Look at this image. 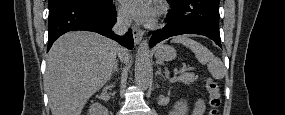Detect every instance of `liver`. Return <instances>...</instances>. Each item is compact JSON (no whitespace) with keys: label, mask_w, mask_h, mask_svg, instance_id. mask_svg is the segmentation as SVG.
Segmentation results:
<instances>
[{"label":"liver","mask_w":285,"mask_h":115,"mask_svg":"<svg viewBox=\"0 0 285 115\" xmlns=\"http://www.w3.org/2000/svg\"><path fill=\"white\" fill-rule=\"evenodd\" d=\"M126 49L99 34L68 32L47 55L44 83L52 115H80L87 100L109 79L116 56Z\"/></svg>","instance_id":"1"}]
</instances>
